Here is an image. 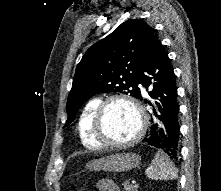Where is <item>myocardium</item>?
<instances>
[{"label":"myocardium","instance_id":"obj_1","mask_svg":"<svg viewBox=\"0 0 221 191\" xmlns=\"http://www.w3.org/2000/svg\"><path fill=\"white\" fill-rule=\"evenodd\" d=\"M124 101L130 104L137 112L139 117V127L135 135L124 142H112L107 139L105 131V114L110 103ZM146 129V115L140 103L133 97L126 94H113L103 99L98 105L93 119V136L100 147L122 149L130 147L140 141Z\"/></svg>","mask_w":221,"mask_h":191}]
</instances>
